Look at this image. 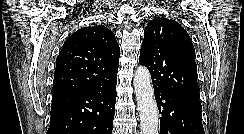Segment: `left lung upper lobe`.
I'll list each match as a JSON object with an SVG mask.
<instances>
[{
	"label": "left lung upper lobe",
	"instance_id": "5c2ea615",
	"mask_svg": "<svg viewBox=\"0 0 244 134\" xmlns=\"http://www.w3.org/2000/svg\"><path fill=\"white\" fill-rule=\"evenodd\" d=\"M139 62L148 68L154 90L199 96L195 49L176 21L156 17L148 23Z\"/></svg>",
	"mask_w": 244,
	"mask_h": 134
}]
</instances>
